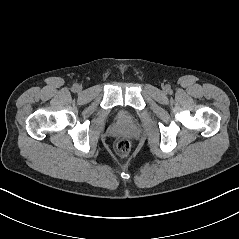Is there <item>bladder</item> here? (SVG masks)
Listing matches in <instances>:
<instances>
[{
	"label": "bladder",
	"mask_w": 239,
	"mask_h": 239,
	"mask_svg": "<svg viewBox=\"0 0 239 239\" xmlns=\"http://www.w3.org/2000/svg\"><path fill=\"white\" fill-rule=\"evenodd\" d=\"M118 120L122 121V122H129L130 121V117L124 113V112H120L117 115Z\"/></svg>",
	"instance_id": "bladder-1"
}]
</instances>
